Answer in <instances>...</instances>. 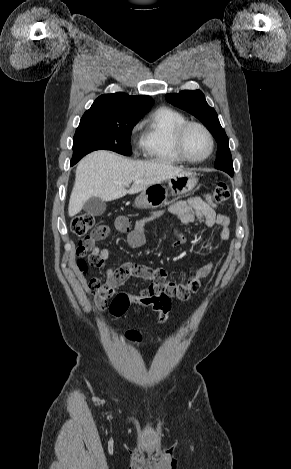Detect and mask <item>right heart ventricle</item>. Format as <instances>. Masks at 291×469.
Masks as SVG:
<instances>
[{
  "label": "right heart ventricle",
  "instance_id": "obj_1",
  "mask_svg": "<svg viewBox=\"0 0 291 469\" xmlns=\"http://www.w3.org/2000/svg\"><path fill=\"white\" fill-rule=\"evenodd\" d=\"M186 117L169 107L155 109L142 123L140 147L143 155L152 161L165 164H180L174 145V134Z\"/></svg>",
  "mask_w": 291,
  "mask_h": 469
}]
</instances>
